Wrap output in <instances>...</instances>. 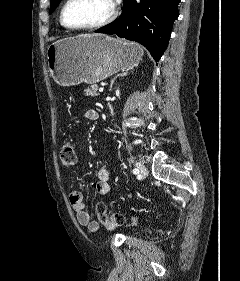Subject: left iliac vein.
I'll list each match as a JSON object with an SVG mask.
<instances>
[{
    "instance_id": "obj_1",
    "label": "left iliac vein",
    "mask_w": 240,
    "mask_h": 281,
    "mask_svg": "<svg viewBox=\"0 0 240 281\" xmlns=\"http://www.w3.org/2000/svg\"><path fill=\"white\" fill-rule=\"evenodd\" d=\"M138 170L140 171V176L145 178L148 175L147 168L142 164V163H137L136 164Z\"/></svg>"
}]
</instances>
